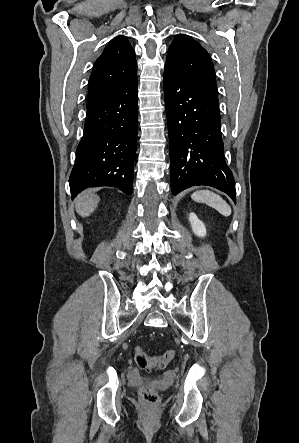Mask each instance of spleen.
<instances>
[{"instance_id":"3e777b00","label":"spleen","mask_w":299,"mask_h":443,"mask_svg":"<svg viewBox=\"0 0 299 443\" xmlns=\"http://www.w3.org/2000/svg\"><path fill=\"white\" fill-rule=\"evenodd\" d=\"M191 198L195 202L205 203L206 205L214 208L225 217L230 216L232 213L229 204L222 197L210 190L196 191L191 195Z\"/></svg>"}]
</instances>
